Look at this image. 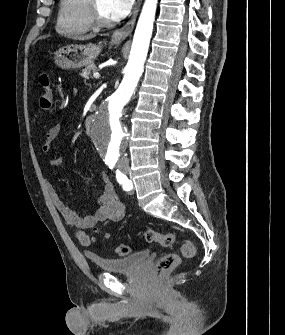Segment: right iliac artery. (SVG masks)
Listing matches in <instances>:
<instances>
[{"label": "right iliac artery", "instance_id": "82829eb1", "mask_svg": "<svg viewBox=\"0 0 285 335\" xmlns=\"http://www.w3.org/2000/svg\"><path fill=\"white\" fill-rule=\"evenodd\" d=\"M106 164L109 166L110 169H113L115 161L107 162Z\"/></svg>", "mask_w": 285, "mask_h": 335}]
</instances>
